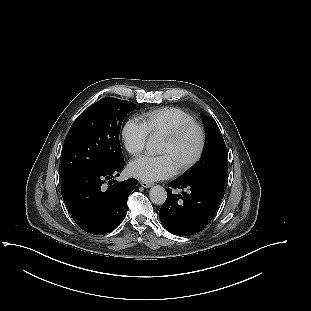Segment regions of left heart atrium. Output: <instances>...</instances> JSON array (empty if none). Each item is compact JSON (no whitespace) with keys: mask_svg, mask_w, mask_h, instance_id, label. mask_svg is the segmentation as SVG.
I'll use <instances>...</instances> for the list:
<instances>
[{"mask_svg":"<svg viewBox=\"0 0 311 311\" xmlns=\"http://www.w3.org/2000/svg\"><path fill=\"white\" fill-rule=\"evenodd\" d=\"M129 171L136 178L153 182L169 177L174 171V166L167 155H144L130 163Z\"/></svg>","mask_w":311,"mask_h":311,"instance_id":"obj_1","label":"left heart atrium"}]
</instances>
